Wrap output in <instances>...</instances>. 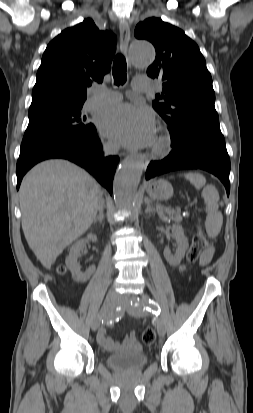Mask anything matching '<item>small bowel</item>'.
Wrapping results in <instances>:
<instances>
[{
  "instance_id": "1",
  "label": "small bowel",
  "mask_w": 253,
  "mask_h": 413,
  "mask_svg": "<svg viewBox=\"0 0 253 413\" xmlns=\"http://www.w3.org/2000/svg\"><path fill=\"white\" fill-rule=\"evenodd\" d=\"M214 254V248L209 247L201 256L200 259V264L201 265H206L208 264ZM97 341L101 346H103L105 349L109 351H118L121 350L123 347L127 348H133L137 349L138 348V341L136 338L135 331H130L125 339L123 344L118 343L117 341L113 340L110 336L107 334V329L105 327H102L97 334Z\"/></svg>"
}]
</instances>
